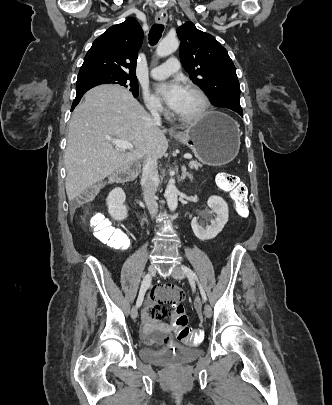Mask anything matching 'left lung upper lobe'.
<instances>
[{"mask_svg":"<svg viewBox=\"0 0 332 405\" xmlns=\"http://www.w3.org/2000/svg\"><path fill=\"white\" fill-rule=\"evenodd\" d=\"M177 35L181 41L180 59L191 80L211 98L213 105L233 111L240 108V86L227 50L192 22L180 26Z\"/></svg>","mask_w":332,"mask_h":405,"instance_id":"obj_1","label":"left lung upper lobe"}]
</instances>
